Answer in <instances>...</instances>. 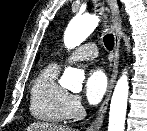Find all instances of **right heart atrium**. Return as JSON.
I'll return each mask as SVG.
<instances>
[{
	"mask_svg": "<svg viewBox=\"0 0 147 131\" xmlns=\"http://www.w3.org/2000/svg\"><path fill=\"white\" fill-rule=\"evenodd\" d=\"M67 119H77L83 113L82 100L78 95L70 94L66 103Z\"/></svg>",
	"mask_w": 147,
	"mask_h": 131,
	"instance_id": "right-heart-atrium-1",
	"label": "right heart atrium"
}]
</instances>
